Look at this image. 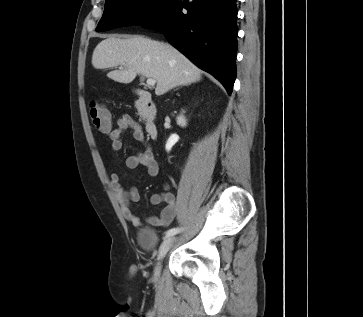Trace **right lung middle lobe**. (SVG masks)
Returning <instances> with one entry per match:
<instances>
[{
    "label": "right lung middle lobe",
    "instance_id": "dd1d6c3e",
    "mask_svg": "<svg viewBox=\"0 0 363 317\" xmlns=\"http://www.w3.org/2000/svg\"><path fill=\"white\" fill-rule=\"evenodd\" d=\"M175 0H106L97 32L147 24L162 16Z\"/></svg>",
    "mask_w": 363,
    "mask_h": 317
}]
</instances>
